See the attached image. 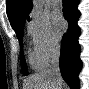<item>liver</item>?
Instances as JSON below:
<instances>
[{
    "label": "liver",
    "instance_id": "obj_1",
    "mask_svg": "<svg viewBox=\"0 0 89 89\" xmlns=\"http://www.w3.org/2000/svg\"><path fill=\"white\" fill-rule=\"evenodd\" d=\"M62 81L51 74L37 73L27 78L24 89H58Z\"/></svg>",
    "mask_w": 89,
    "mask_h": 89
}]
</instances>
